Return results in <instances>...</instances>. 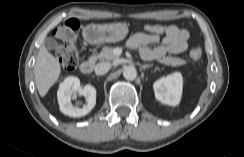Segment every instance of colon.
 <instances>
[{
  "label": "colon",
  "mask_w": 244,
  "mask_h": 157,
  "mask_svg": "<svg viewBox=\"0 0 244 157\" xmlns=\"http://www.w3.org/2000/svg\"><path fill=\"white\" fill-rule=\"evenodd\" d=\"M79 22L76 19H69L63 22L54 31V37L58 42L56 48V56L60 64L67 70L76 68L79 55L75 46L77 34L79 30ZM167 26L162 24H147L144 26L143 32L150 34H162L166 31ZM202 56V50L199 47L192 48L190 57L193 60H199Z\"/></svg>",
  "instance_id": "colon-1"
}]
</instances>
